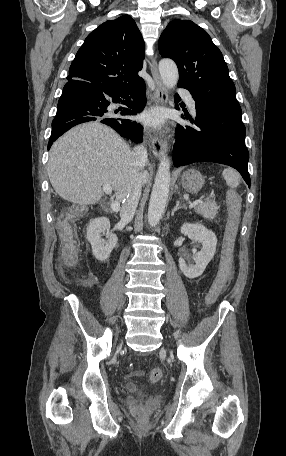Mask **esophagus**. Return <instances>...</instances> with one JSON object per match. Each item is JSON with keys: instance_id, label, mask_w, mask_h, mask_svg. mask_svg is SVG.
<instances>
[{"instance_id": "obj_1", "label": "esophagus", "mask_w": 286, "mask_h": 456, "mask_svg": "<svg viewBox=\"0 0 286 456\" xmlns=\"http://www.w3.org/2000/svg\"><path fill=\"white\" fill-rule=\"evenodd\" d=\"M150 69L155 88L151 102L154 104H164L167 101V94L158 73L157 61L155 56H153L151 59ZM150 143L152 145L153 152L156 157L162 158L165 156V145L158 136L151 135Z\"/></svg>"}]
</instances>
